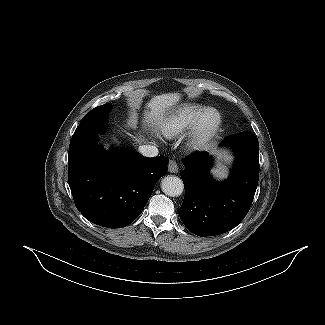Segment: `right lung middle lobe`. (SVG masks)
Wrapping results in <instances>:
<instances>
[{
    "mask_svg": "<svg viewBox=\"0 0 325 325\" xmlns=\"http://www.w3.org/2000/svg\"><path fill=\"white\" fill-rule=\"evenodd\" d=\"M112 108L110 104H104L92 109L81 120L75 130L76 134L103 133L107 125V117Z\"/></svg>",
    "mask_w": 325,
    "mask_h": 325,
    "instance_id": "dd1d6c3e",
    "label": "right lung middle lobe"
}]
</instances>
